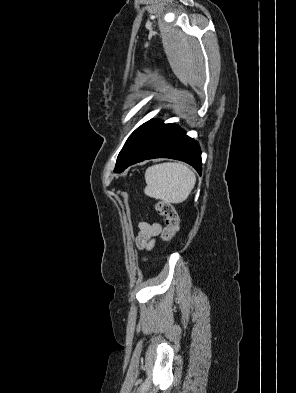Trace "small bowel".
<instances>
[{"label":"small bowel","instance_id":"small-bowel-1","mask_svg":"<svg viewBox=\"0 0 296 393\" xmlns=\"http://www.w3.org/2000/svg\"><path fill=\"white\" fill-rule=\"evenodd\" d=\"M138 235L136 245L139 249L150 250L155 244V239L162 232V225L158 222L148 223L141 221L138 223Z\"/></svg>","mask_w":296,"mask_h":393}]
</instances>
